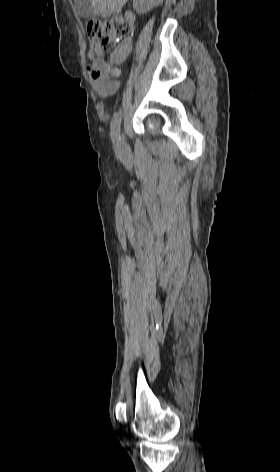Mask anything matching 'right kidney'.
<instances>
[{
  "label": "right kidney",
  "mask_w": 280,
  "mask_h": 472,
  "mask_svg": "<svg viewBox=\"0 0 280 472\" xmlns=\"http://www.w3.org/2000/svg\"><path fill=\"white\" fill-rule=\"evenodd\" d=\"M162 0H133V8L139 14H144L156 7Z\"/></svg>",
  "instance_id": "obj_1"
}]
</instances>
